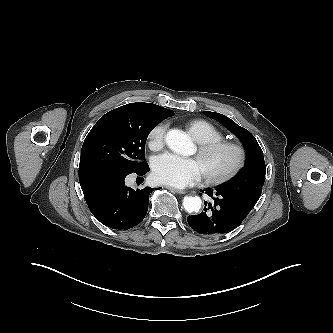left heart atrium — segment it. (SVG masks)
I'll use <instances>...</instances> for the list:
<instances>
[{
  "instance_id": "39dd6f15",
  "label": "left heart atrium",
  "mask_w": 333,
  "mask_h": 333,
  "mask_svg": "<svg viewBox=\"0 0 333 333\" xmlns=\"http://www.w3.org/2000/svg\"><path fill=\"white\" fill-rule=\"evenodd\" d=\"M152 169L153 176L158 182L178 188L198 182L203 174L198 160L172 153L156 157Z\"/></svg>"
}]
</instances>
